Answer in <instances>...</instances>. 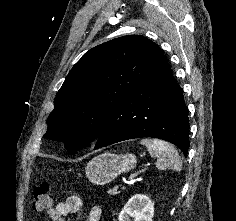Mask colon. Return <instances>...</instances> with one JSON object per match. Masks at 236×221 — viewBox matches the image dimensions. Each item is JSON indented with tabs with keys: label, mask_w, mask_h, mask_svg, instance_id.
I'll use <instances>...</instances> for the list:
<instances>
[{
	"label": "colon",
	"mask_w": 236,
	"mask_h": 221,
	"mask_svg": "<svg viewBox=\"0 0 236 221\" xmlns=\"http://www.w3.org/2000/svg\"><path fill=\"white\" fill-rule=\"evenodd\" d=\"M52 185L44 182L34 189L33 206L37 212H44L52 204Z\"/></svg>",
	"instance_id": "colon-1"
}]
</instances>
